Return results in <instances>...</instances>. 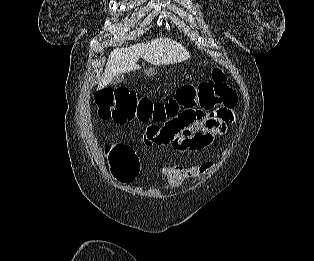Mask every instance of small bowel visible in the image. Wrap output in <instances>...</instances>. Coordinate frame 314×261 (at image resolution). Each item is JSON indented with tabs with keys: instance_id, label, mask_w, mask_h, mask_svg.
Returning a JSON list of instances; mask_svg holds the SVG:
<instances>
[{
	"instance_id": "1",
	"label": "small bowel",
	"mask_w": 314,
	"mask_h": 261,
	"mask_svg": "<svg viewBox=\"0 0 314 261\" xmlns=\"http://www.w3.org/2000/svg\"><path fill=\"white\" fill-rule=\"evenodd\" d=\"M236 98L228 104L218 105L212 110L182 109L171 120L146 129L144 142L156 148H170L172 151H199L210 147L215 138L227 133L234 122L233 108ZM212 163L178 164L162 163L161 175L171 187L177 188L187 180L200 178L213 169Z\"/></svg>"
}]
</instances>
